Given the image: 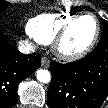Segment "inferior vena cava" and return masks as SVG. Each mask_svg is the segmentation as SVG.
I'll use <instances>...</instances> for the list:
<instances>
[{
  "label": "inferior vena cava",
  "instance_id": "1",
  "mask_svg": "<svg viewBox=\"0 0 108 108\" xmlns=\"http://www.w3.org/2000/svg\"><path fill=\"white\" fill-rule=\"evenodd\" d=\"M18 50L23 54H30L34 52V46L29 41H20L18 44Z\"/></svg>",
  "mask_w": 108,
  "mask_h": 108
}]
</instances>
